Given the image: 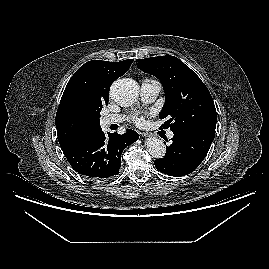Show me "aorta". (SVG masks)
Here are the masks:
<instances>
[{
    "mask_svg": "<svg viewBox=\"0 0 269 269\" xmlns=\"http://www.w3.org/2000/svg\"><path fill=\"white\" fill-rule=\"evenodd\" d=\"M138 94L139 87L137 82L128 78L116 80L110 88L112 99L121 106L133 104ZM146 149L156 159L163 158L166 154L164 142L157 137H150L146 140Z\"/></svg>",
    "mask_w": 269,
    "mask_h": 269,
    "instance_id": "aorta-1",
    "label": "aorta"
}]
</instances>
